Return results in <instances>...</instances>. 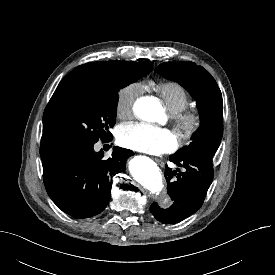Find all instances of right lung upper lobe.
I'll return each instance as SVG.
<instances>
[{"instance_id": "1", "label": "right lung upper lobe", "mask_w": 275, "mask_h": 275, "mask_svg": "<svg viewBox=\"0 0 275 275\" xmlns=\"http://www.w3.org/2000/svg\"><path fill=\"white\" fill-rule=\"evenodd\" d=\"M129 65L137 68H149L150 70L152 67L150 61L131 63L126 61L90 62L76 67L61 81L58 87L91 81L113 82L122 76L125 67ZM58 151L60 149L43 133L40 145L41 158L49 157Z\"/></svg>"}]
</instances>
